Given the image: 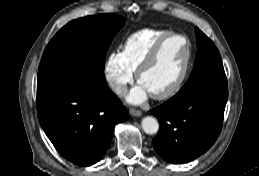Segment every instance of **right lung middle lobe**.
Segmentation results:
<instances>
[{
	"label": "right lung middle lobe",
	"instance_id": "right-lung-middle-lobe-1",
	"mask_svg": "<svg viewBox=\"0 0 259 176\" xmlns=\"http://www.w3.org/2000/svg\"><path fill=\"white\" fill-rule=\"evenodd\" d=\"M124 24L125 18L112 13L69 22L47 45L38 72L68 63L102 72L106 52Z\"/></svg>",
	"mask_w": 259,
	"mask_h": 176
}]
</instances>
